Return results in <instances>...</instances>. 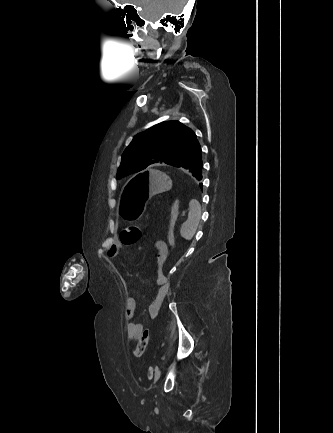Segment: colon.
I'll return each instance as SVG.
<instances>
[{"label": "colon", "mask_w": 333, "mask_h": 433, "mask_svg": "<svg viewBox=\"0 0 333 433\" xmlns=\"http://www.w3.org/2000/svg\"><path fill=\"white\" fill-rule=\"evenodd\" d=\"M177 216L178 215H177V211H176L175 203H174L173 208H172V215H171V220H170V231H169V237H168L170 244H174V241H175L173 227L176 224ZM140 239H141V231L136 226H133V225L126 226L120 232V241L125 246H134L140 241ZM149 336H150L149 331L145 330L142 333V335L140 336V338L138 339L136 348L134 350V355L136 357H141L144 354V352L148 346Z\"/></svg>", "instance_id": "1"}]
</instances>
